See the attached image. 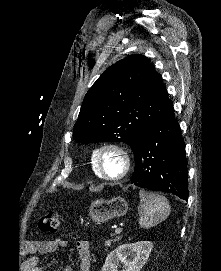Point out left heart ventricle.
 I'll use <instances>...</instances> for the list:
<instances>
[{"label": "left heart ventricle", "mask_w": 221, "mask_h": 271, "mask_svg": "<svg viewBox=\"0 0 221 271\" xmlns=\"http://www.w3.org/2000/svg\"><path fill=\"white\" fill-rule=\"evenodd\" d=\"M106 160L103 161L105 166H103L105 177H121V169H124V166H115L117 156H120L119 153H106Z\"/></svg>", "instance_id": "obj_1"}]
</instances>
